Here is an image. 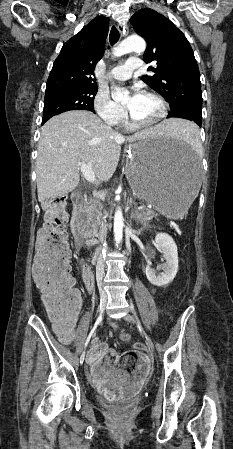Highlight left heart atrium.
<instances>
[{"instance_id":"1","label":"left heart atrium","mask_w":233,"mask_h":449,"mask_svg":"<svg viewBox=\"0 0 233 449\" xmlns=\"http://www.w3.org/2000/svg\"><path fill=\"white\" fill-rule=\"evenodd\" d=\"M143 95V93L138 90V89H134L129 97L130 102H129V106L132 107L136 104V102L141 98V96Z\"/></svg>"}]
</instances>
